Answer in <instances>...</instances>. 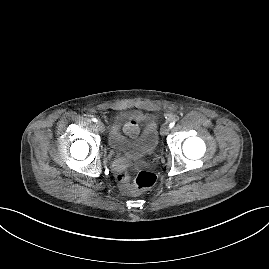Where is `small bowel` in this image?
I'll list each match as a JSON object with an SVG mask.
<instances>
[{
    "instance_id": "small-bowel-1",
    "label": "small bowel",
    "mask_w": 269,
    "mask_h": 269,
    "mask_svg": "<svg viewBox=\"0 0 269 269\" xmlns=\"http://www.w3.org/2000/svg\"><path fill=\"white\" fill-rule=\"evenodd\" d=\"M125 132L130 135L134 136L138 132V124L136 121H131L125 125Z\"/></svg>"
}]
</instances>
